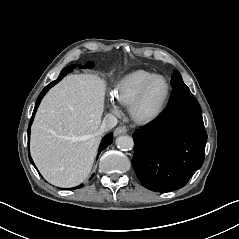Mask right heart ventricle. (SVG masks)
I'll list each match as a JSON object with an SVG mask.
<instances>
[{
    "mask_svg": "<svg viewBox=\"0 0 239 239\" xmlns=\"http://www.w3.org/2000/svg\"><path fill=\"white\" fill-rule=\"evenodd\" d=\"M156 75L157 73L147 69L133 70L114 83L112 96L119 104L130 106L144 84Z\"/></svg>",
    "mask_w": 239,
    "mask_h": 239,
    "instance_id": "obj_1",
    "label": "right heart ventricle"
}]
</instances>
